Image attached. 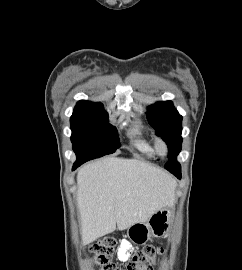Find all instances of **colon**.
Here are the masks:
<instances>
[{
  "instance_id": "obj_1",
  "label": "colon",
  "mask_w": 242,
  "mask_h": 270,
  "mask_svg": "<svg viewBox=\"0 0 242 270\" xmlns=\"http://www.w3.org/2000/svg\"><path fill=\"white\" fill-rule=\"evenodd\" d=\"M117 241L113 236L100 239L92 248L93 264L99 270H121L112 261ZM163 252L158 246H146L134 254L133 260L124 270H153L157 257Z\"/></svg>"
}]
</instances>
